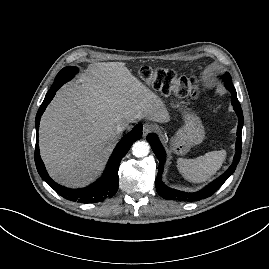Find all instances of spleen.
<instances>
[{"instance_id": "3e777b00", "label": "spleen", "mask_w": 269, "mask_h": 269, "mask_svg": "<svg viewBox=\"0 0 269 269\" xmlns=\"http://www.w3.org/2000/svg\"><path fill=\"white\" fill-rule=\"evenodd\" d=\"M226 159V151H211L195 159L179 158L177 167L181 175L193 183L209 180L222 167Z\"/></svg>"}]
</instances>
